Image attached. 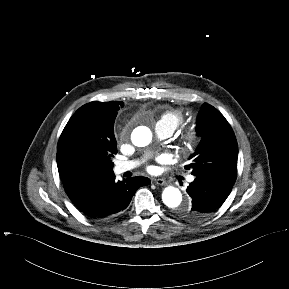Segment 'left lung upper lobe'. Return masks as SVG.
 Returning a JSON list of instances; mask_svg holds the SVG:
<instances>
[{
	"instance_id": "obj_1",
	"label": "left lung upper lobe",
	"mask_w": 289,
	"mask_h": 289,
	"mask_svg": "<svg viewBox=\"0 0 289 289\" xmlns=\"http://www.w3.org/2000/svg\"><path fill=\"white\" fill-rule=\"evenodd\" d=\"M197 134L201 141L186 166L196 177L208 176L235 183L238 146L231 126L213 106L204 103L198 114Z\"/></svg>"
}]
</instances>
